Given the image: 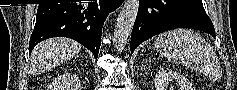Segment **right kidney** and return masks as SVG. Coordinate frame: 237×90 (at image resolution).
I'll list each match as a JSON object with an SVG mask.
<instances>
[{
  "label": "right kidney",
  "mask_w": 237,
  "mask_h": 90,
  "mask_svg": "<svg viewBox=\"0 0 237 90\" xmlns=\"http://www.w3.org/2000/svg\"><path fill=\"white\" fill-rule=\"evenodd\" d=\"M73 84H79L80 80L79 78H74V80H72ZM51 88H58V86H56V84H52Z\"/></svg>",
  "instance_id": "right-kidney-1"
}]
</instances>
